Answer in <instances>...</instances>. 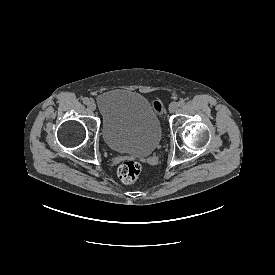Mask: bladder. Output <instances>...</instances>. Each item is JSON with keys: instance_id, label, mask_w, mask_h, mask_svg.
<instances>
[{"instance_id": "bladder-1", "label": "bladder", "mask_w": 275, "mask_h": 275, "mask_svg": "<svg viewBox=\"0 0 275 275\" xmlns=\"http://www.w3.org/2000/svg\"><path fill=\"white\" fill-rule=\"evenodd\" d=\"M95 104L109 148L145 157L157 147L161 123L144 96L129 90H112L99 95Z\"/></svg>"}]
</instances>
